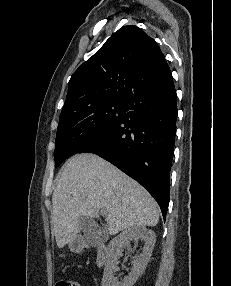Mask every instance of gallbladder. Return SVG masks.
I'll return each instance as SVG.
<instances>
[{
	"mask_svg": "<svg viewBox=\"0 0 231 286\" xmlns=\"http://www.w3.org/2000/svg\"><path fill=\"white\" fill-rule=\"evenodd\" d=\"M79 228L85 232V234H97L99 233V228H97V222L92 216H87L82 214L78 219Z\"/></svg>",
	"mask_w": 231,
	"mask_h": 286,
	"instance_id": "gallbladder-1",
	"label": "gallbladder"
}]
</instances>
